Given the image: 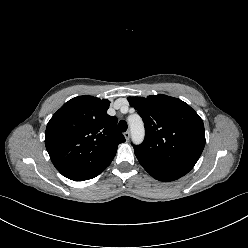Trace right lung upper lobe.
I'll use <instances>...</instances> for the list:
<instances>
[{
	"mask_svg": "<svg viewBox=\"0 0 248 248\" xmlns=\"http://www.w3.org/2000/svg\"><path fill=\"white\" fill-rule=\"evenodd\" d=\"M110 101L79 96L66 102L50 119L45 146L58 171L88 170L113 160L125 138L117 118L109 116Z\"/></svg>",
	"mask_w": 248,
	"mask_h": 248,
	"instance_id": "obj_1",
	"label": "right lung upper lobe"
}]
</instances>
